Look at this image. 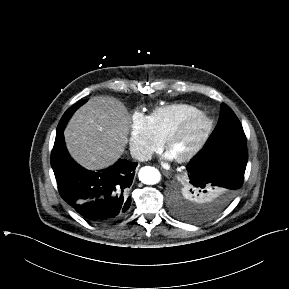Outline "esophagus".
I'll return each mask as SVG.
<instances>
[{
	"label": "esophagus",
	"instance_id": "obj_1",
	"mask_svg": "<svg viewBox=\"0 0 289 289\" xmlns=\"http://www.w3.org/2000/svg\"><path fill=\"white\" fill-rule=\"evenodd\" d=\"M163 174H164L166 177H169V176L171 175V173H170L169 171H166V170L163 171Z\"/></svg>",
	"mask_w": 289,
	"mask_h": 289
}]
</instances>
